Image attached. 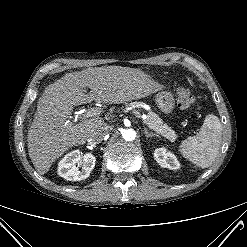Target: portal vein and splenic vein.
I'll use <instances>...</instances> for the list:
<instances>
[{"label": "portal vein and splenic vein", "mask_w": 247, "mask_h": 247, "mask_svg": "<svg viewBox=\"0 0 247 247\" xmlns=\"http://www.w3.org/2000/svg\"><path fill=\"white\" fill-rule=\"evenodd\" d=\"M101 113V109L100 108H91L88 110H85L82 114L83 118H89V117H93V116H97ZM133 114L139 118V119H145L146 116L145 115H141L140 112L133 110Z\"/></svg>", "instance_id": "1"}]
</instances>
